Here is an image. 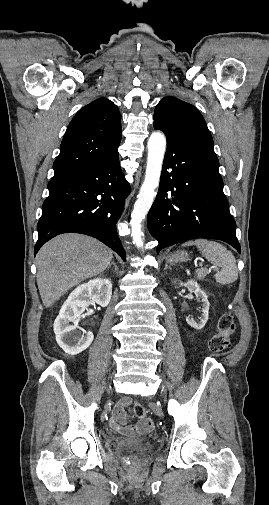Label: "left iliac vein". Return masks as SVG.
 Here are the masks:
<instances>
[{
    "instance_id": "1",
    "label": "left iliac vein",
    "mask_w": 269,
    "mask_h": 505,
    "mask_svg": "<svg viewBox=\"0 0 269 505\" xmlns=\"http://www.w3.org/2000/svg\"><path fill=\"white\" fill-rule=\"evenodd\" d=\"M149 408H150V410H151V411L155 412V413H156V414H158L160 417H162V416H163V411H162V409H161L160 407H157V405H156V404H154V403H153V404H150V407H149Z\"/></svg>"
}]
</instances>
